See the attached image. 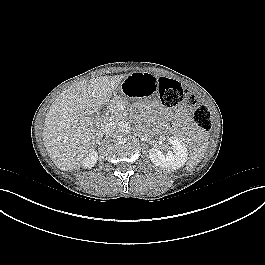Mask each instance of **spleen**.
<instances>
[{
	"label": "spleen",
	"instance_id": "spleen-1",
	"mask_svg": "<svg viewBox=\"0 0 265 265\" xmlns=\"http://www.w3.org/2000/svg\"><path fill=\"white\" fill-rule=\"evenodd\" d=\"M208 149V144L203 143L195 152H193L188 161H187V166L192 168L196 165H198L201 162L202 157L206 153Z\"/></svg>",
	"mask_w": 265,
	"mask_h": 265
}]
</instances>
